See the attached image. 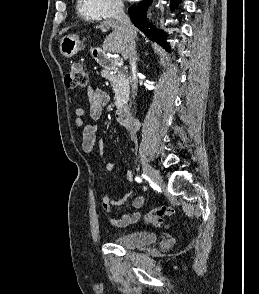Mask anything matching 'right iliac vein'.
<instances>
[{
	"instance_id": "1",
	"label": "right iliac vein",
	"mask_w": 259,
	"mask_h": 294,
	"mask_svg": "<svg viewBox=\"0 0 259 294\" xmlns=\"http://www.w3.org/2000/svg\"><path fill=\"white\" fill-rule=\"evenodd\" d=\"M142 168L144 173L148 176V178L153 182H160L159 173L148 163L143 162Z\"/></svg>"
}]
</instances>
